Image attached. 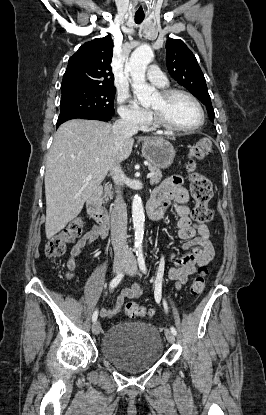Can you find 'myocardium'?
Wrapping results in <instances>:
<instances>
[{
    "label": "myocardium",
    "instance_id": "f54148a6",
    "mask_svg": "<svg viewBox=\"0 0 266 415\" xmlns=\"http://www.w3.org/2000/svg\"><path fill=\"white\" fill-rule=\"evenodd\" d=\"M160 95L165 101H169L172 98L179 96V95L189 98L199 110L200 121L196 125L191 126V127L175 126L171 124L160 112L153 109V115L155 118V122L159 127L169 132H173V133H187V132L195 131L204 125L205 119H206L204 108L202 104L200 103V101L192 93L186 90H182V89L168 88V89L161 90Z\"/></svg>",
    "mask_w": 266,
    "mask_h": 415
}]
</instances>
